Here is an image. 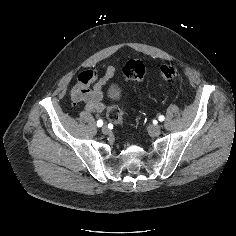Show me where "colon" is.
<instances>
[{
    "instance_id": "colon-1",
    "label": "colon",
    "mask_w": 236,
    "mask_h": 236,
    "mask_svg": "<svg viewBox=\"0 0 236 236\" xmlns=\"http://www.w3.org/2000/svg\"><path fill=\"white\" fill-rule=\"evenodd\" d=\"M124 75L133 81H142L145 77V66L139 60H130L126 63L123 69ZM162 79L170 84L177 83L181 80V74L174 65H163L160 68ZM107 119L113 124H121L122 112L116 105L110 106L106 113Z\"/></svg>"
}]
</instances>
